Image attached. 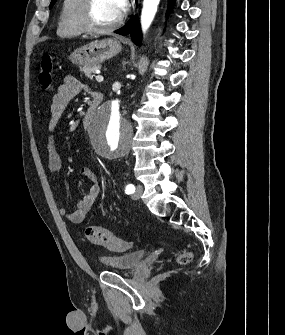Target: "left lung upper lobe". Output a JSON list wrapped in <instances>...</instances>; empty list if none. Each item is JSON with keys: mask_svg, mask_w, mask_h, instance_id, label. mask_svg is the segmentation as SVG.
<instances>
[{"mask_svg": "<svg viewBox=\"0 0 285 335\" xmlns=\"http://www.w3.org/2000/svg\"><path fill=\"white\" fill-rule=\"evenodd\" d=\"M56 1H57V0H52V1H51V4H50V6H49V8H51V7L55 4Z\"/></svg>", "mask_w": 285, "mask_h": 335, "instance_id": "1", "label": "left lung upper lobe"}]
</instances>
